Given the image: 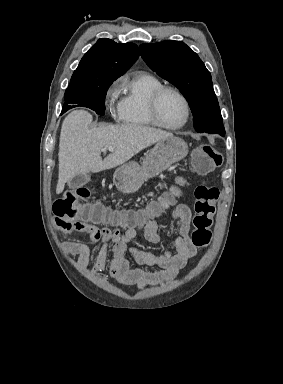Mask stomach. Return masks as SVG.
<instances>
[{
    "label": "stomach",
    "instance_id": "1",
    "mask_svg": "<svg viewBox=\"0 0 283 384\" xmlns=\"http://www.w3.org/2000/svg\"><path fill=\"white\" fill-rule=\"evenodd\" d=\"M188 152V146L181 138H165L156 142L154 148L143 158L141 166L138 162H127L117 168L113 182L118 192L135 194L149 178L158 176L175 162H180L186 158Z\"/></svg>",
    "mask_w": 283,
    "mask_h": 384
}]
</instances>
